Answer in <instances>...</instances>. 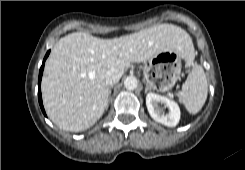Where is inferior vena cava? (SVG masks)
<instances>
[{"mask_svg":"<svg viewBox=\"0 0 245 170\" xmlns=\"http://www.w3.org/2000/svg\"><path fill=\"white\" fill-rule=\"evenodd\" d=\"M123 72L116 70L114 68L109 69L106 74H105V81L107 85H113L115 83H117L120 78L122 77Z\"/></svg>","mask_w":245,"mask_h":170,"instance_id":"1","label":"inferior vena cava"}]
</instances>
